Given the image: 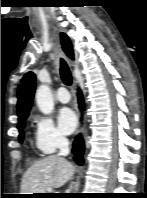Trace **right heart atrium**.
I'll return each instance as SVG.
<instances>
[{
    "label": "right heart atrium",
    "mask_w": 147,
    "mask_h": 198,
    "mask_svg": "<svg viewBox=\"0 0 147 198\" xmlns=\"http://www.w3.org/2000/svg\"><path fill=\"white\" fill-rule=\"evenodd\" d=\"M34 122L36 146L43 154H51L66 143V138L58 130L52 118L36 115Z\"/></svg>",
    "instance_id": "right-heart-atrium-1"
}]
</instances>
